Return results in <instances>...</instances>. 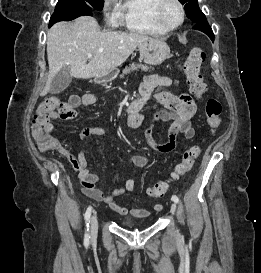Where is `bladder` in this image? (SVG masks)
Segmentation results:
<instances>
[{"instance_id":"bladder-1","label":"bladder","mask_w":261,"mask_h":273,"mask_svg":"<svg viewBox=\"0 0 261 273\" xmlns=\"http://www.w3.org/2000/svg\"><path fill=\"white\" fill-rule=\"evenodd\" d=\"M123 223H124L125 225H135L137 222H135V221H133V220H131V219H125V220L123 221Z\"/></svg>"}]
</instances>
